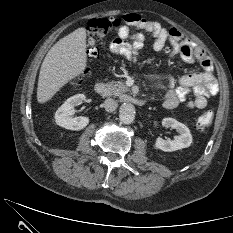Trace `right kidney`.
<instances>
[{
  "label": "right kidney",
  "instance_id": "1",
  "mask_svg": "<svg viewBox=\"0 0 233 233\" xmlns=\"http://www.w3.org/2000/svg\"><path fill=\"white\" fill-rule=\"evenodd\" d=\"M84 100V94H77L68 98L55 113L57 125L69 130L84 129L89 123V118L84 116L73 117L75 106L82 104Z\"/></svg>",
  "mask_w": 233,
  "mask_h": 233
}]
</instances>
